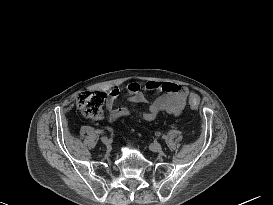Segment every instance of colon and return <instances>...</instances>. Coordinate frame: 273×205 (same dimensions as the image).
Here are the masks:
<instances>
[{
  "mask_svg": "<svg viewBox=\"0 0 273 205\" xmlns=\"http://www.w3.org/2000/svg\"><path fill=\"white\" fill-rule=\"evenodd\" d=\"M106 95L103 92L81 91L75 96V102L81 114L90 120L101 117ZM192 109H198V98L190 99Z\"/></svg>",
  "mask_w": 273,
  "mask_h": 205,
  "instance_id": "1",
  "label": "colon"
}]
</instances>
